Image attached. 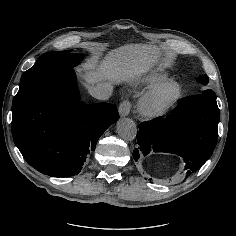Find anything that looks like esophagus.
I'll return each instance as SVG.
<instances>
[{
    "label": "esophagus",
    "instance_id": "34e87169",
    "mask_svg": "<svg viewBox=\"0 0 236 236\" xmlns=\"http://www.w3.org/2000/svg\"><path fill=\"white\" fill-rule=\"evenodd\" d=\"M132 108V103L130 100H124L119 105V114L121 117H125L130 113V110Z\"/></svg>",
    "mask_w": 236,
    "mask_h": 236
}]
</instances>
